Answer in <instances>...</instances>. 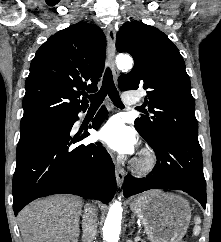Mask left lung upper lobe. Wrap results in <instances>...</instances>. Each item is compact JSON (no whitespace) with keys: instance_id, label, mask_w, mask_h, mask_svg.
I'll list each match as a JSON object with an SVG mask.
<instances>
[{"instance_id":"5c2ea615","label":"left lung upper lobe","mask_w":221,"mask_h":242,"mask_svg":"<svg viewBox=\"0 0 221 242\" xmlns=\"http://www.w3.org/2000/svg\"><path fill=\"white\" fill-rule=\"evenodd\" d=\"M116 48L134 58V67L119 78L121 90L148 89L144 105L153 115H142L135 127L153 141L165 131L198 135L190 79L178 48L159 29L142 22H126L117 33Z\"/></svg>"}]
</instances>
